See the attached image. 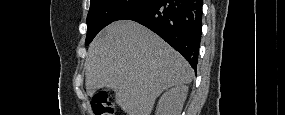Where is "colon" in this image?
<instances>
[{
	"mask_svg": "<svg viewBox=\"0 0 285 115\" xmlns=\"http://www.w3.org/2000/svg\"><path fill=\"white\" fill-rule=\"evenodd\" d=\"M92 109L95 115H113L114 109L108 102L107 95L103 92L96 94L92 100Z\"/></svg>",
	"mask_w": 285,
	"mask_h": 115,
	"instance_id": "5ec220e1",
	"label": "colon"
}]
</instances>
